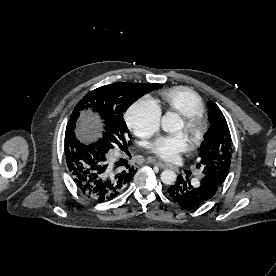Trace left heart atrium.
Instances as JSON below:
<instances>
[{"instance_id":"obj_1","label":"left heart atrium","mask_w":276,"mask_h":276,"mask_svg":"<svg viewBox=\"0 0 276 276\" xmlns=\"http://www.w3.org/2000/svg\"><path fill=\"white\" fill-rule=\"evenodd\" d=\"M188 149V142L182 133L161 136L149 145V150L154 155L164 160H175Z\"/></svg>"}]
</instances>
